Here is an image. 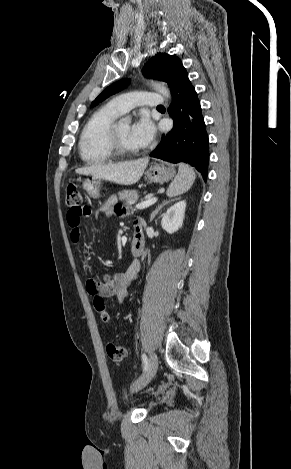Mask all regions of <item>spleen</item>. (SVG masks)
<instances>
[{"label":"spleen","instance_id":"spleen-1","mask_svg":"<svg viewBox=\"0 0 291 469\" xmlns=\"http://www.w3.org/2000/svg\"><path fill=\"white\" fill-rule=\"evenodd\" d=\"M195 179L196 175L194 170L188 164L181 163L177 176L167 190V195L176 196L185 193L191 188Z\"/></svg>","mask_w":291,"mask_h":469}]
</instances>
